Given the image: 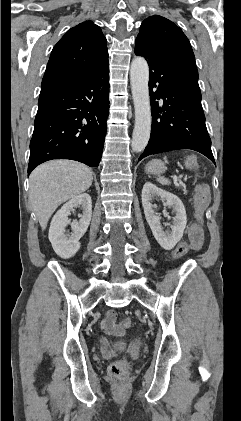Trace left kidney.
Here are the masks:
<instances>
[{
	"mask_svg": "<svg viewBox=\"0 0 241 421\" xmlns=\"http://www.w3.org/2000/svg\"><path fill=\"white\" fill-rule=\"evenodd\" d=\"M155 196L165 201L164 204L172 207L176 213L173 224L170 225V232L163 231L160 216L153 210L152 200ZM141 197L144 214L155 239L163 249L171 250L181 240L187 224L186 211L182 201L176 195L162 190L150 182L144 184Z\"/></svg>",
	"mask_w": 241,
	"mask_h": 421,
	"instance_id": "1",
	"label": "left kidney"
}]
</instances>
